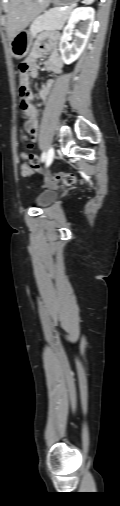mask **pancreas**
I'll return each mask as SVG.
<instances>
[{
    "mask_svg": "<svg viewBox=\"0 0 120 506\" xmlns=\"http://www.w3.org/2000/svg\"><path fill=\"white\" fill-rule=\"evenodd\" d=\"M71 13V9L62 10L60 8H52L46 11L43 18L34 22L31 25L30 32L33 36L37 33L46 31L61 30L64 26L65 21Z\"/></svg>",
    "mask_w": 120,
    "mask_h": 506,
    "instance_id": "cf45deb5",
    "label": "pancreas"
}]
</instances>
